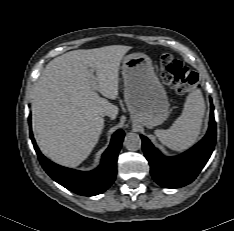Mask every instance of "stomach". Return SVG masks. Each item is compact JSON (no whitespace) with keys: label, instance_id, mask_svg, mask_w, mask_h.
<instances>
[{"label":"stomach","instance_id":"stomach-1","mask_svg":"<svg viewBox=\"0 0 234 231\" xmlns=\"http://www.w3.org/2000/svg\"><path fill=\"white\" fill-rule=\"evenodd\" d=\"M122 76L124 99L133 123L147 128L162 124L168 117L170 104L150 57L144 53L124 56Z\"/></svg>","mask_w":234,"mask_h":231}]
</instances>
